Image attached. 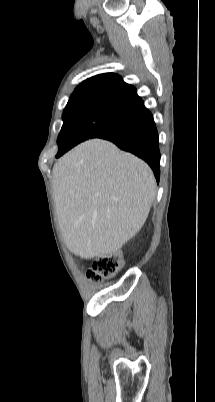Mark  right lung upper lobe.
Wrapping results in <instances>:
<instances>
[{"label": "right lung upper lobe", "mask_w": 215, "mask_h": 402, "mask_svg": "<svg viewBox=\"0 0 215 402\" xmlns=\"http://www.w3.org/2000/svg\"><path fill=\"white\" fill-rule=\"evenodd\" d=\"M111 95L126 101L143 104L137 95L135 87L127 84L123 79L113 73H105L93 76L83 81L72 95Z\"/></svg>", "instance_id": "cb5924a9"}]
</instances>
